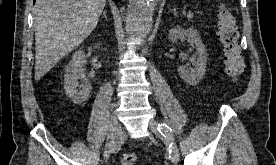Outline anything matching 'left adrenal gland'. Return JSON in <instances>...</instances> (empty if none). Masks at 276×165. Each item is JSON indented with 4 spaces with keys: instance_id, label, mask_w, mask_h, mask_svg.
<instances>
[{
    "instance_id": "1",
    "label": "left adrenal gland",
    "mask_w": 276,
    "mask_h": 165,
    "mask_svg": "<svg viewBox=\"0 0 276 165\" xmlns=\"http://www.w3.org/2000/svg\"><path fill=\"white\" fill-rule=\"evenodd\" d=\"M172 12L174 13L175 16H177L176 9H172Z\"/></svg>"
}]
</instances>
